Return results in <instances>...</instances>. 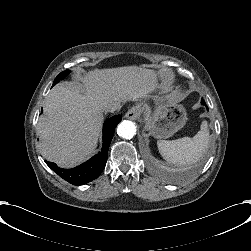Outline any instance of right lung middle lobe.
Instances as JSON below:
<instances>
[{"mask_svg": "<svg viewBox=\"0 0 251 251\" xmlns=\"http://www.w3.org/2000/svg\"><path fill=\"white\" fill-rule=\"evenodd\" d=\"M69 70L61 72L54 80L53 86L69 74Z\"/></svg>", "mask_w": 251, "mask_h": 251, "instance_id": "1", "label": "right lung middle lobe"}]
</instances>
